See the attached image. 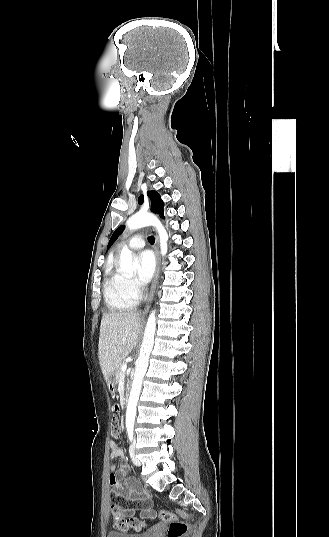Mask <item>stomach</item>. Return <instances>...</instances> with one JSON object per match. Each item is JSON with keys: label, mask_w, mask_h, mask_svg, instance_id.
<instances>
[{"label": "stomach", "mask_w": 329, "mask_h": 537, "mask_svg": "<svg viewBox=\"0 0 329 537\" xmlns=\"http://www.w3.org/2000/svg\"><path fill=\"white\" fill-rule=\"evenodd\" d=\"M115 383H116V380H115V373H113V374L109 377V379H108V381H107V384H108L109 389H113L114 386H115Z\"/></svg>", "instance_id": "1"}]
</instances>
